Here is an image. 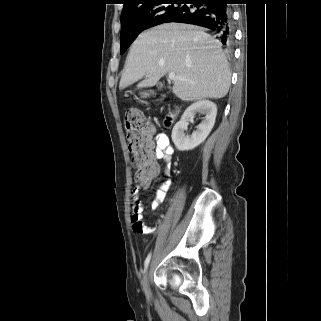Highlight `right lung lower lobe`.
I'll list each match as a JSON object with an SVG mask.
<instances>
[{"label": "right lung lower lobe", "instance_id": "right-lung-lower-lobe-1", "mask_svg": "<svg viewBox=\"0 0 321 321\" xmlns=\"http://www.w3.org/2000/svg\"><path fill=\"white\" fill-rule=\"evenodd\" d=\"M232 0H185L164 20L203 26L213 30L224 45L232 42V17L228 4ZM191 4V5H190Z\"/></svg>", "mask_w": 321, "mask_h": 321}]
</instances>
